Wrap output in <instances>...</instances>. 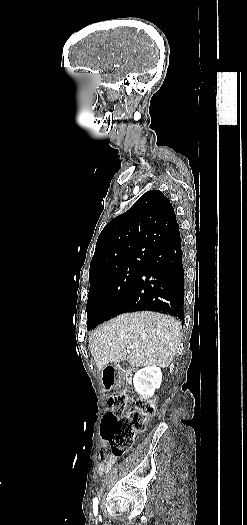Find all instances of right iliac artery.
I'll return each mask as SVG.
<instances>
[{
	"instance_id": "1",
	"label": "right iliac artery",
	"mask_w": 247,
	"mask_h": 525,
	"mask_svg": "<svg viewBox=\"0 0 247 525\" xmlns=\"http://www.w3.org/2000/svg\"><path fill=\"white\" fill-rule=\"evenodd\" d=\"M93 511H94V515H97V513H98V499L96 497L93 499Z\"/></svg>"
}]
</instances>
